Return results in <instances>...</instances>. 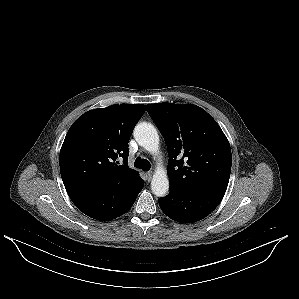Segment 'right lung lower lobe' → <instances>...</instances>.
Here are the masks:
<instances>
[{"label": "right lung lower lobe", "mask_w": 299, "mask_h": 299, "mask_svg": "<svg viewBox=\"0 0 299 299\" xmlns=\"http://www.w3.org/2000/svg\"><path fill=\"white\" fill-rule=\"evenodd\" d=\"M144 183L132 194L121 183H109L68 192L75 206L87 216L108 221L126 213L134 204Z\"/></svg>", "instance_id": "98d812e1"}]
</instances>
